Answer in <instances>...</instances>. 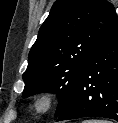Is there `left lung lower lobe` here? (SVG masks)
Instances as JSON below:
<instances>
[{
  "label": "left lung lower lobe",
  "instance_id": "1",
  "mask_svg": "<svg viewBox=\"0 0 118 123\" xmlns=\"http://www.w3.org/2000/svg\"><path fill=\"white\" fill-rule=\"evenodd\" d=\"M82 117L118 121V20L94 48L57 121Z\"/></svg>",
  "mask_w": 118,
  "mask_h": 123
}]
</instances>
